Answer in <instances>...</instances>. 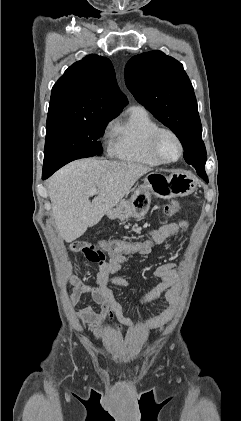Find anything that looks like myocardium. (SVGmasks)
<instances>
[{"instance_id":"f54148a6","label":"myocardium","mask_w":241,"mask_h":421,"mask_svg":"<svg viewBox=\"0 0 241 421\" xmlns=\"http://www.w3.org/2000/svg\"><path fill=\"white\" fill-rule=\"evenodd\" d=\"M164 135H171L178 143L179 146V154L176 158L168 160L166 158L163 157L161 151H160V140L162 138V136ZM151 150L153 152V154L156 156V158L164 164H170V163H174L176 161H178L183 153H184V145L183 142L180 138V136L172 129L170 128H159L157 131H155V133L153 134L152 138H151Z\"/></svg>"}]
</instances>
